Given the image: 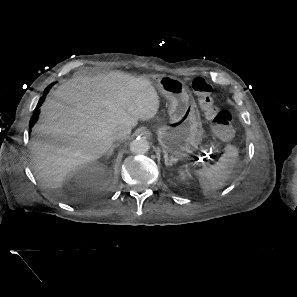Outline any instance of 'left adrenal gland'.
<instances>
[{"label":"left adrenal gland","mask_w":297,"mask_h":297,"mask_svg":"<svg viewBox=\"0 0 297 297\" xmlns=\"http://www.w3.org/2000/svg\"><path fill=\"white\" fill-rule=\"evenodd\" d=\"M164 159H165V164L168 165V166H172L174 163H176V159L171 157L170 160L168 159V155H167V152H164ZM169 160V162H168Z\"/></svg>","instance_id":"left-adrenal-gland-1"}]
</instances>
